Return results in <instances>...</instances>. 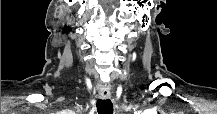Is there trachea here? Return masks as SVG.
Instances as JSON below:
<instances>
[{
    "label": "trachea",
    "mask_w": 217,
    "mask_h": 114,
    "mask_svg": "<svg viewBox=\"0 0 217 114\" xmlns=\"http://www.w3.org/2000/svg\"><path fill=\"white\" fill-rule=\"evenodd\" d=\"M98 114H113V104L109 99L97 101Z\"/></svg>",
    "instance_id": "trachea-1"
}]
</instances>
